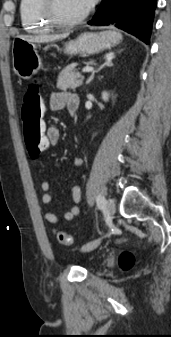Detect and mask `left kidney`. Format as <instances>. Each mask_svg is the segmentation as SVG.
Segmentation results:
<instances>
[{
  "instance_id": "left-kidney-1",
  "label": "left kidney",
  "mask_w": 171,
  "mask_h": 337,
  "mask_svg": "<svg viewBox=\"0 0 171 337\" xmlns=\"http://www.w3.org/2000/svg\"><path fill=\"white\" fill-rule=\"evenodd\" d=\"M108 98H109L108 93H107V92H103V94H102V99H103L104 101H108Z\"/></svg>"
}]
</instances>
